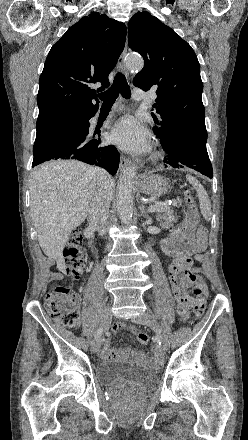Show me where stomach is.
Returning <instances> with one entry per match:
<instances>
[{"mask_svg": "<svg viewBox=\"0 0 248 440\" xmlns=\"http://www.w3.org/2000/svg\"><path fill=\"white\" fill-rule=\"evenodd\" d=\"M137 190L147 196L159 197L167 193L169 185L164 177L144 175L137 181Z\"/></svg>", "mask_w": 248, "mask_h": 440, "instance_id": "1", "label": "stomach"}]
</instances>
